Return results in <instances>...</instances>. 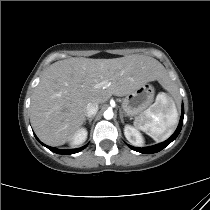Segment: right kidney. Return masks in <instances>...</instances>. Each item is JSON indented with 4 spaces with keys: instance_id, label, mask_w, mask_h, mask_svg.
I'll return each instance as SVG.
<instances>
[{
    "instance_id": "ca27d5eb",
    "label": "right kidney",
    "mask_w": 210,
    "mask_h": 210,
    "mask_svg": "<svg viewBox=\"0 0 210 210\" xmlns=\"http://www.w3.org/2000/svg\"><path fill=\"white\" fill-rule=\"evenodd\" d=\"M87 130L84 128L79 129L72 138V145H80L87 139Z\"/></svg>"
}]
</instances>
